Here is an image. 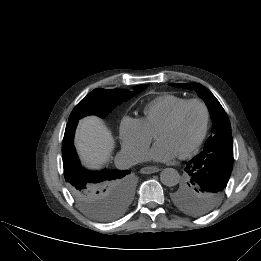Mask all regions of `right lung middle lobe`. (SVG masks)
Returning <instances> with one entry per match:
<instances>
[{
	"label": "right lung middle lobe",
	"mask_w": 261,
	"mask_h": 261,
	"mask_svg": "<svg viewBox=\"0 0 261 261\" xmlns=\"http://www.w3.org/2000/svg\"><path fill=\"white\" fill-rule=\"evenodd\" d=\"M147 85L135 86L132 91L97 88L73 109L69 121L95 114L105 118L116 106L141 92ZM70 192L79 207L91 218L110 221L121 215L132 198V186L126 175L102 179L95 183L83 182L80 173L65 175Z\"/></svg>",
	"instance_id": "right-lung-middle-lobe-1"
}]
</instances>
